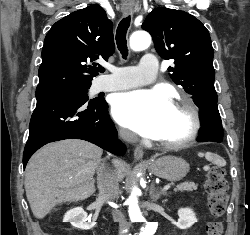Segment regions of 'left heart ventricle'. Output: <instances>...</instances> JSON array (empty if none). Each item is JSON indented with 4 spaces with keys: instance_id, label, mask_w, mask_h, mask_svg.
I'll use <instances>...</instances> for the list:
<instances>
[{
    "instance_id": "obj_1",
    "label": "left heart ventricle",
    "mask_w": 250,
    "mask_h": 235,
    "mask_svg": "<svg viewBox=\"0 0 250 235\" xmlns=\"http://www.w3.org/2000/svg\"><path fill=\"white\" fill-rule=\"evenodd\" d=\"M190 125L188 114L173 107L166 117L162 130L155 138L163 141L179 139L187 134Z\"/></svg>"
}]
</instances>
